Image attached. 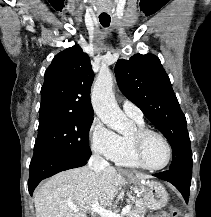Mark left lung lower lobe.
<instances>
[{"label":"left lung lower lobe","instance_id":"1","mask_svg":"<svg viewBox=\"0 0 211 217\" xmlns=\"http://www.w3.org/2000/svg\"><path fill=\"white\" fill-rule=\"evenodd\" d=\"M191 174L192 171L186 169H169L161 173L153 174V176L172 183L183 195L186 203H188Z\"/></svg>","mask_w":211,"mask_h":217}]
</instances>
